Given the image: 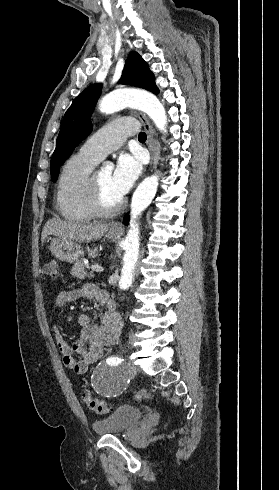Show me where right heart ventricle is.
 <instances>
[{"mask_svg": "<svg viewBox=\"0 0 279 490\" xmlns=\"http://www.w3.org/2000/svg\"><path fill=\"white\" fill-rule=\"evenodd\" d=\"M96 161L80 152L63 164L57 187V202L62 217L72 223H84L95 215L89 204L91 172Z\"/></svg>", "mask_w": 279, "mask_h": 490, "instance_id": "right-heart-ventricle-1", "label": "right heart ventricle"}]
</instances>
